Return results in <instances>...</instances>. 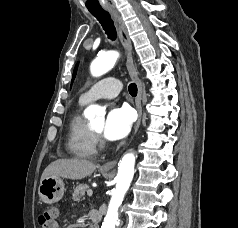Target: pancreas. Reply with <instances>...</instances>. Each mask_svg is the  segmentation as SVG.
<instances>
[{
  "instance_id": "obj_1",
  "label": "pancreas",
  "mask_w": 238,
  "mask_h": 228,
  "mask_svg": "<svg viewBox=\"0 0 238 228\" xmlns=\"http://www.w3.org/2000/svg\"><path fill=\"white\" fill-rule=\"evenodd\" d=\"M90 188L87 184H80L78 185L73 192V197L72 199L74 201H79L80 198L85 194L86 191H89Z\"/></svg>"
}]
</instances>
